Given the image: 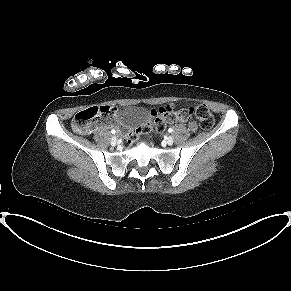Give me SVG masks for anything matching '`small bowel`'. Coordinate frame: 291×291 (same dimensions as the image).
<instances>
[{
  "mask_svg": "<svg viewBox=\"0 0 291 291\" xmlns=\"http://www.w3.org/2000/svg\"><path fill=\"white\" fill-rule=\"evenodd\" d=\"M159 112L152 110L150 111V115L155 116L157 115ZM173 121L176 122H188V127L191 131H196L197 130V123L193 120H191V114H189L188 110H179L175 116Z\"/></svg>",
  "mask_w": 291,
  "mask_h": 291,
  "instance_id": "c3829d8e",
  "label": "small bowel"
}]
</instances>
